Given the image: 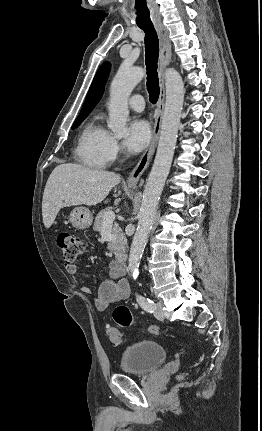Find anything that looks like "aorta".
I'll list each match as a JSON object with an SVG mask.
<instances>
[{"label":"aorta","instance_id":"1","mask_svg":"<svg viewBox=\"0 0 262 431\" xmlns=\"http://www.w3.org/2000/svg\"><path fill=\"white\" fill-rule=\"evenodd\" d=\"M144 75L145 71L141 67L123 65L111 83L108 127L117 138H122L127 131L128 98ZM165 87L166 102L157 153L143 192L138 225L128 260V268L134 279L139 274L140 260L172 164L184 102V83L181 75L173 68L165 71Z\"/></svg>","mask_w":262,"mask_h":431}]
</instances>
